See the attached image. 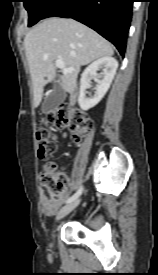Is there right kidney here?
Masks as SVG:
<instances>
[{"mask_svg": "<svg viewBox=\"0 0 158 275\" xmlns=\"http://www.w3.org/2000/svg\"><path fill=\"white\" fill-rule=\"evenodd\" d=\"M103 69L99 76L97 71ZM118 62L113 57H102L90 64L82 73L78 103L82 110H89L97 105L108 91L116 74ZM102 78L95 88L94 95L86 96L92 78Z\"/></svg>", "mask_w": 158, "mask_h": 275, "instance_id": "1", "label": "right kidney"}]
</instances>
